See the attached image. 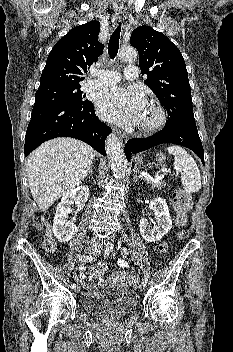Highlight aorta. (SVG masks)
Returning <instances> with one entry per match:
<instances>
[{
  "instance_id": "762f6f07",
  "label": "aorta",
  "mask_w": 233,
  "mask_h": 352,
  "mask_svg": "<svg viewBox=\"0 0 233 352\" xmlns=\"http://www.w3.org/2000/svg\"><path fill=\"white\" fill-rule=\"evenodd\" d=\"M119 56L124 61L137 59V51L134 48H122ZM107 157L115 178H123L127 169V160L118 137L111 133L105 142Z\"/></svg>"
}]
</instances>
